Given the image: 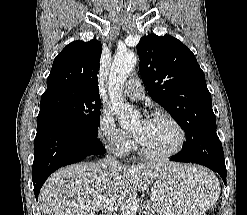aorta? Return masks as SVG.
Returning <instances> with one entry per match:
<instances>
[{
  "label": "aorta",
  "mask_w": 247,
  "mask_h": 215,
  "mask_svg": "<svg viewBox=\"0 0 247 215\" xmlns=\"http://www.w3.org/2000/svg\"><path fill=\"white\" fill-rule=\"evenodd\" d=\"M137 63V57L131 52L118 53L112 63L108 79V91L111 110L118 117L123 128H128L137 120L139 113L122 96L124 83Z\"/></svg>",
  "instance_id": "762f6f07"
}]
</instances>
